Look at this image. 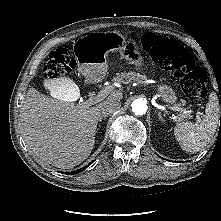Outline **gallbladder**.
I'll use <instances>...</instances> for the list:
<instances>
[{"label":"gallbladder","mask_w":221,"mask_h":221,"mask_svg":"<svg viewBox=\"0 0 221 221\" xmlns=\"http://www.w3.org/2000/svg\"><path fill=\"white\" fill-rule=\"evenodd\" d=\"M42 84L44 89L50 92L53 97L70 104L78 102L82 95L80 87L74 81L54 72L46 74Z\"/></svg>","instance_id":"1"}]
</instances>
